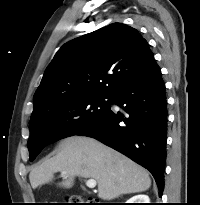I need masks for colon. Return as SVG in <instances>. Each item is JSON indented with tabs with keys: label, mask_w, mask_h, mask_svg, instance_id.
<instances>
[{
	"label": "colon",
	"mask_w": 200,
	"mask_h": 205,
	"mask_svg": "<svg viewBox=\"0 0 200 205\" xmlns=\"http://www.w3.org/2000/svg\"><path fill=\"white\" fill-rule=\"evenodd\" d=\"M77 200L76 199H71L72 205H76Z\"/></svg>",
	"instance_id": "1"
}]
</instances>
